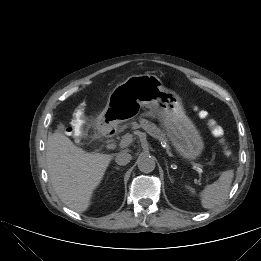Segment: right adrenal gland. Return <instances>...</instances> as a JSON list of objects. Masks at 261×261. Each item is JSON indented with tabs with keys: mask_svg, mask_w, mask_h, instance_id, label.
Listing matches in <instances>:
<instances>
[{
	"mask_svg": "<svg viewBox=\"0 0 261 261\" xmlns=\"http://www.w3.org/2000/svg\"><path fill=\"white\" fill-rule=\"evenodd\" d=\"M116 168V170H120V168L119 167H115Z\"/></svg>",
	"mask_w": 261,
	"mask_h": 261,
	"instance_id": "right-adrenal-gland-1",
	"label": "right adrenal gland"
}]
</instances>
